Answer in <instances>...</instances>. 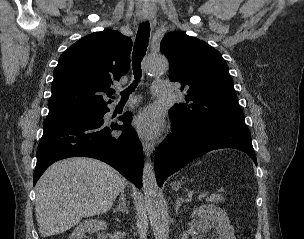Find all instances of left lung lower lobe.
<instances>
[{
  "label": "left lung lower lobe",
  "instance_id": "0a47b994",
  "mask_svg": "<svg viewBox=\"0 0 304 239\" xmlns=\"http://www.w3.org/2000/svg\"><path fill=\"white\" fill-rule=\"evenodd\" d=\"M171 118V117H170ZM172 133L155 155L158 186L193 159L215 149L233 148L245 152L257 165L251 134L246 124L216 123L191 131L171 118Z\"/></svg>",
  "mask_w": 304,
  "mask_h": 239
}]
</instances>
